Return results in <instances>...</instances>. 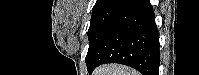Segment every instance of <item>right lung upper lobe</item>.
Instances as JSON below:
<instances>
[{
	"label": "right lung upper lobe",
	"mask_w": 199,
	"mask_h": 75,
	"mask_svg": "<svg viewBox=\"0 0 199 75\" xmlns=\"http://www.w3.org/2000/svg\"><path fill=\"white\" fill-rule=\"evenodd\" d=\"M111 0H97L94 6L106 3V2H110Z\"/></svg>",
	"instance_id": "right-lung-upper-lobe-1"
}]
</instances>
